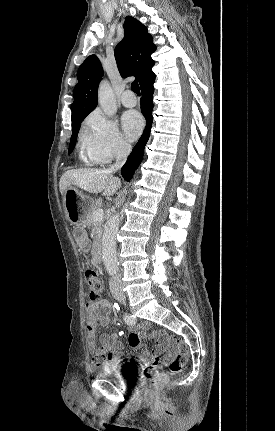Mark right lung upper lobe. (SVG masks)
<instances>
[{"mask_svg": "<svg viewBox=\"0 0 275 431\" xmlns=\"http://www.w3.org/2000/svg\"><path fill=\"white\" fill-rule=\"evenodd\" d=\"M124 31V38L114 51L117 66L122 77L135 76L142 89L155 79L151 54L156 50V46L152 43V37L146 27L131 16L125 19ZM102 75V66L95 55L87 57L79 67L78 83L74 88V102L71 107L72 127L81 123L96 108L97 90Z\"/></svg>", "mask_w": 275, "mask_h": 431, "instance_id": "right-lung-upper-lobe-1", "label": "right lung upper lobe"}]
</instances>
